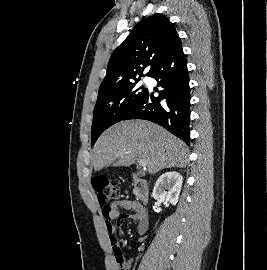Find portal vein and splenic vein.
Returning a JSON list of instances; mask_svg holds the SVG:
<instances>
[{"instance_id": "18ae733b", "label": "portal vein and splenic vein", "mask_w": 267, "mask_h": 270, "mask_svg": "<svg viewBox=\"0 0 267 270\" xmlns=\"http://www.w3.org/2000/svg\"><path fill=\"white\" fill-rule=\"evenodd\" d=\"M138 163L142 167H145L146 166L145 162L143 160H141V159H138Z\"/></svg>"}]
</instances>
